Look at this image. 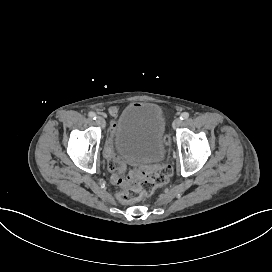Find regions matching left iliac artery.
<instances>
[{"label":"left iliac artery","instance_id":"obj_1","mask_svg":"<svg viewBox=\"0 0 272 272\" xmlns=\"http://www.w3.org/2000/svg\"><path fill=\"white\" fill-rule=\"evenodd\" d=\"M189 118V113L187 112H183L181 115H180V120H185Z\"/></svg>","mask_w":272,"mask_h":272}]
</instances>
